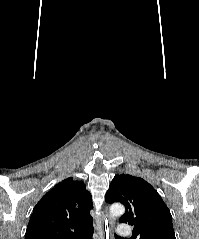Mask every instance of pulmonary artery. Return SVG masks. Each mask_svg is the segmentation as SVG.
<instances>
[{
  "instance_id": "1",
  "label": "pulmonary artery",
  "mask_w": 199,
  "mask_h": 239,
  "mask_svg": "<svg viewBox=\"0 0 199 239\" xmlns=\"http://www.w3.org/2000/svg\"><path fill=\"white\" fill-rule=\"evenodd\" d=\"M117 230L121 237H129L132 234L131 227L126 223L118 225Z\"/></svg>"
}]
</instances>
